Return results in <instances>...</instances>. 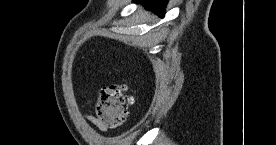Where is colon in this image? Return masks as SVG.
I'll return each instance as SVG.
<instances>
[{"label": "colon", "instance_id": "colon-1", "mask_svg": "<svg viewBox=\"0 0 276 145\" xmlns=\"http://www.w3.org/2000/svg\"><path fill=\"white\" fill-rule=\"evenodd\" d=\"M133 99L127 86L115 84L101 87L95 97V110L100 121L108 127H119L125 120Z\"/></svg>", "mask_w": 276, "mask_h": 145}]
</instances>
